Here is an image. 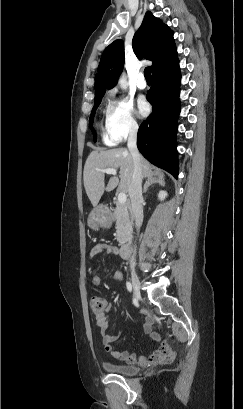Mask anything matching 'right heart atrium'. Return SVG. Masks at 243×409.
<instances>
[{
    "instance_id": "d8ad5b80",
    "label": "right heart atrium",
    "mask_w": 243,
    "mask_h": 409,
    "mask_svg": "<svg viewBox=\"0 0 243 409\" xmlns=\"http://www.w3.org/2000/svg\"><path fill=\"white\" fill-rule=\"evenodd\" d=\"M112 100L106 111L105 125L108 136L113 141H122L138 130L131 102L124 97L110 94Z\"/></svg>"
}]
</instances>
